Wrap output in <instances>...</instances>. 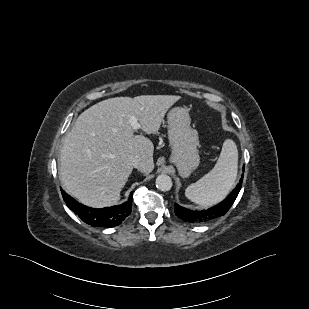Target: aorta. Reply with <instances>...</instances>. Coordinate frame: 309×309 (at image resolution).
Segmentation results:
<instances>
[{"label": "aorta", "mask_w": 309, "mask_h": 309, "mask_svg": "<svg viewBox=\"0 0 309 309\" xmlns=\"http://www.w3.org/2000/svg\"><path fill=\"white\" fill-rule=\"evenodd\" d=\"M156 187L160 191H169L172 187V180L171 178L166 174H161L157 176L156 178Z\"/></svg>", "instance_id": "1"}]
</instances>
